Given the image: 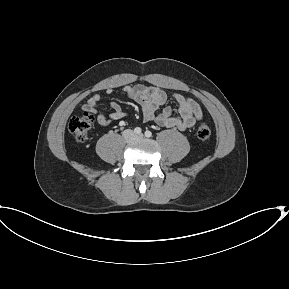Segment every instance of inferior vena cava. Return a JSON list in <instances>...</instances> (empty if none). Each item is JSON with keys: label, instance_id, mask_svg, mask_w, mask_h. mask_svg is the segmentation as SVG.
<instances>
[{"label": "inferior vena cava", "instance_id": "602c4592", "mask_svg": "<svg viewBox=\"0 0 289 289\" xmlns=\"http://www.w3.org/2000/svg\"><path fill=\"white\" fill-rule=\"evenodd\" d=\"M131 133H132V130H125L124 131V137L127 138V136Z\"/></svg>", "mask_w": 289, "mask_h": 289}]
</instances>
